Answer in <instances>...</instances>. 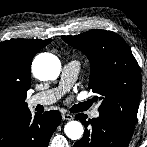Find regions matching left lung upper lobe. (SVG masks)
Here are the masks:
<instances>
[{
    "mask_svg": "<svg viewBox=\"0 0 147 147\" xmlns=\"http://www.w3.org/2000/svg\"><path fill=\"white\" fill-rule=\"evenodd\" d=\"M62 39L87 55L91 72L89 88L102 101L98 108L100 115L134 130L141 95V74L124 39L106 30H90Z\"/></svg>",
    "mask_w": 147,
    "mask_h": 147,
    "instance_id": "left-lung-upper-lobe-1",
    "label": "left lung upper lobe"
}]
</instances>
